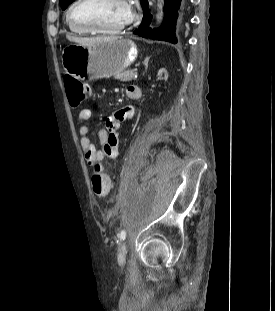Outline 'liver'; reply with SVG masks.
Segmentation results:
<instances>
[{"mask_svg":"<svg viewBox=\"0 0 275 311\" xmlns=\"http://www.w3.org/2000/svg\"><path fill=\"white\" fill-rule=\"evenodd\" d=\"M70 41H74L76 43L82 44V45H92L95 43L100 42H107V41H115L120 39L119 37H94V38H77V37H67Z\"/></svg>","mask_w":275,"mask_h":311,"instance_id":"obj_1","label":"liver"}]
</instances>
